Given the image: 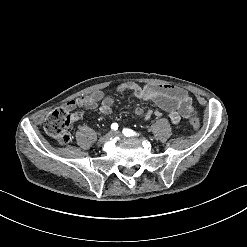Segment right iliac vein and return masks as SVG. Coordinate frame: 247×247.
<instances>
[{
  "mask_svg": "<svg viewBox=\"0 0 247 247\" xmlns=\"http://www.w3.org/2000/svg\"><path fill=\"white\" fill-rule=\"evenodd\" d=\"M112 136H113V132L112 131L108 132L106 135L102 136L98 140L97 145L103 146Z\"/></svg>",
  "mask_w": 247,
  "mask_h": 247,
  "instance_id": "obj_1",
  "label": "right iliac vein"
}]
</instances>
